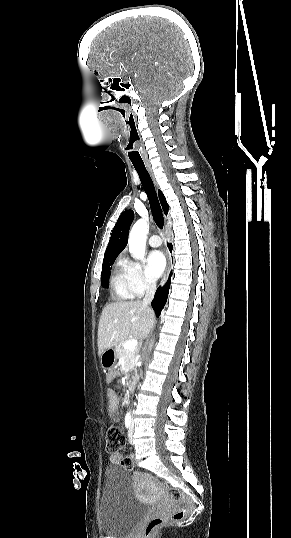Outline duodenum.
Returning <instances> with one entry per match:
<instances>
[{
	"instance_id": "410a0bca",
	"label": "duodenum",
	"mask_w": 291,
	"mask_h": 538,
	"mask_svg": "<svg viewBox=\"0 0 291 538\" xmlns=\"http://www.w3.org/2000/svg\"><path fill=\"white\" fill-rule=\"evenodd\" d=\"M113 355V353H112ZM125 381L123 383L124 388L133 389L135 387V382L132 380V373L125 374Z\"/></svg>"
}]
</instances>
